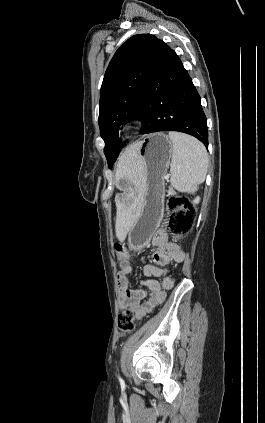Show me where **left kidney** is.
I'll use <instances>...</instances> for the list:
<instances>
[{
  "label": "left kidney",
  "instance_id": "1",
  "mask_svg": "<svg viewBox=\"0 0 265 423\" xmlns=\"http://www.w3.org/2000/svg\"><path fill=\"white\" fill-rule=\"evenodd\" d=\"M199 201H200V197H196V198L194 199L193 203H194V204H198V203H199Z\"/></svg>",
  "mask_w": 265,
  "mask_h": 423
}]
</instances>
